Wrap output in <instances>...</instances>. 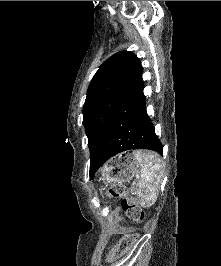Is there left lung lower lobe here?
<instances>
[{"label": "left lung lower lobe", "mask_w": 221, "mask_h": 266, "mask_svg": "<svg viewBox=\"0 0 221 266\" xmlns=\"http://www.w3.org/2000/svg\"><path fill=\"white\" fill-rule=\"evenodd\" d=\"M144 83L121 105L90 161V177L111 157L132 149H150L161 155L163 147L146 111Z\"/></svg>", "instance_id": "1"}]
</instances>
